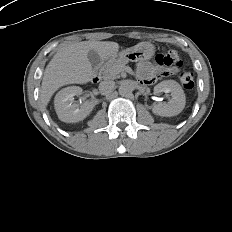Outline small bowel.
Returning a JSON list of instances; mask_svg holds the SVG:
<instances>
[{
  "mask_svg": "<svg viewBox=\"0 0 232 232\" xmlns=\"http://www.w3.org/2000/svg\"><path fill=\"white\" fill-rule=\"evenodd\" d=\"M137 73L140 76V82L146 83L147 86L152 87L156 81L168 78L175 79L179 77V70L172 67L154 66L150 62H140L137 66Z\"/></svg>",
  "mask_w": 232,
  "mask_h": 232,
  "instance_id": "1",
  "label": "small bowel"
}]
</instances>
